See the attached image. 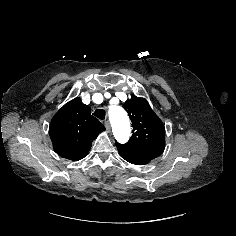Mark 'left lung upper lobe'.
<instances>
[{
    "label": "left lung upper lobe",
    "mask_w": 236,
    "mask_h": 236,
    "mask_svg": "<svg viewBox=\"0 0 236 236\" xmlns=\"http://www.w3.org/2000/svg\"><path fill=\"white\" fill-rule=\"evenodd\" d=\"M123 108L127 111L133 127L130 140L124 145L137 149L165 148V127L144 98L132 95Z\"/></svg>",
    "instance_id": "1"
}]
</instances>
